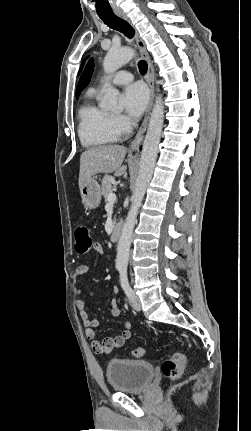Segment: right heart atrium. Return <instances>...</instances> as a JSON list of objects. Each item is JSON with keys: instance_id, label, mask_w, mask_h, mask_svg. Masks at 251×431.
Segmentation results:
<instances>
[{"instance_id": "obj_1", "label": "right heart atrium", "mask_w": 251, "mask_h": 431, "mask_svg": "<svg viewBox=\"0 0 251 431\" xmlns=\"http://www.w3.org/2000/svg\"><path fill=\"white\" fill-rule=\"evenodd\" d=\"M112 128L118 136L125 135L131 129L132 123L122 115H114L111 118Z\"/></svg>"}]
</instances>
